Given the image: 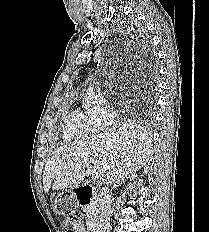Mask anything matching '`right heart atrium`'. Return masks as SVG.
Wrapping results in <instances>:
<instances>
[{"mask_svg":"<svg viewBox=\"0 0 209 232\" xmlns=\"http://www.w3.org/2000/svg\"><path fill=\"white\" fill-rule=\"evenodd\" d=\"M86 110L92 132H100L115 121V112L109 100L102 95H90L86 101Z\"/></svg>","mask_w":209,"mask_h":232,"instance_id":"1","label":"right heart atrium"}]
</instances>
